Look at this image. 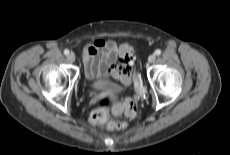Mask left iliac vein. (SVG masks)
I'll return each mask as SVG.
<instances>
[{
	"label": "left iliac vein",
	"instance_id": "obj_1",
	"mask_svg": "<svg viewBox=\"0 0 230 155\" xmlns=\"http://www.w3.org/2000/svg\"><path fill=\"white\" fill-rule=\"evenodd\" d=\"M155 60H156V56H155L154 54H151V55L148 57V61H149L150 63H154Z\"/></svg>",
	"mask_w": 230,
	"mask_h": 155
}]
</instances>
